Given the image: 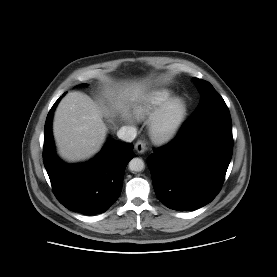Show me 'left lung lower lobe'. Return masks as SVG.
<instances>
[{
  "instance_id": "left-lung-lower-lobe-1",
  "label": "left lung lower lobe",
  "mask_w": 277,
  "mask_h": 277,
  "mask_svg": "<svg viewBox=\"0 0 277 277\" xmlns=\"http://www.w3.org/2000/svg\"><path fill=\"white\" fill-rule=\"evenodd\" d=\"M232 152L227 106L192 115L170 144L155 149L147 159L157 198L178 211L210 203L222 187Z\"/></svg>"
}]
</instances>
